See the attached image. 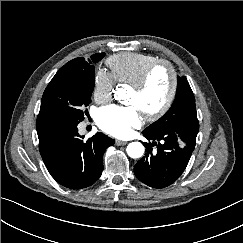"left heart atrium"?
<instances>
[{
	"instance_id": "left-heart-atrium-1",
	"label": "left heart atrium",
	"mask_w": 243,
	"mask_h": 243,
	"mask_svg": "<svg viewBox=\"0 0 243 243\" xmlns=\"http://www.w3.org/2000/svg\"><path fill=\"white\" fill-rule=\"evenodd\" d=\"M142 117L137 106L107 105L101 107L96 113V122L105 132L124 137L131 133L132 129L141 124Z\"/></svg>"
}]
</instances>
